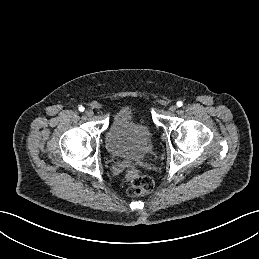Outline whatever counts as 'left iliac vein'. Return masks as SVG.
<instances>
[{
  "label": "left iliac vein",
  "instance_id": "4c4485c4",
  "mask_svg": "<svg viewBox=\"0 0 259 259\" xmlns=\"http://www.w3.org/2000/svg\"><path fill=\"white\" fill-rule=\"evenodd\" d=\"M176 109H177L176 105H171V106L169 107V110H170L171 112H175Z\"/></svg>",
  "mask_w": 259,
  "mask_h": 259
}]
</instances>
